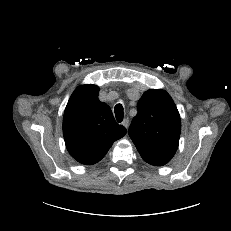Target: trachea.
I'll list each match as a JSON object with an SVG mask.
<instances>
[{"label": "trachea", "mask_w": 231, "mask_h": 231, "mask_svg": "<svg viewBox=\"0 0 231 231\" xmlns=\"http://www.w3.org/2000/svg\"><path fill=\"white\" fill-rule=\"evenodd\" d=\"M114 112H115V116H116L117 121L122 122L123 117H124L123 106L121 104H117L114 108Z\"/></svg>", "instance_id": "trachea-1"}]
</instances>
